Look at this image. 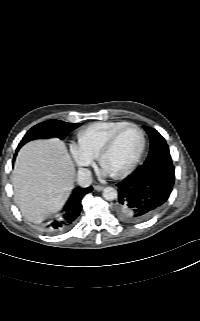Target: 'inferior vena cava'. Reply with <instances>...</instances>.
Masks as SVG:
<instances>
[{
	"mask_svg": "<svg viewBox=\"0 0 200 321\" xmlns=\"http://www.w3.org/2000/svg\"><path fill=\"white\" fill-rule=\"evenodd\" d=\"M77 182L81 187H88L92 183V176L89 169L80 168L77 174Z\"/></svg>",
	"mask_w": 200,
	"mask_h": 321,
	"instance_id": "602c4592",
	"label": "inferior vena cava"
}]
</instances>
